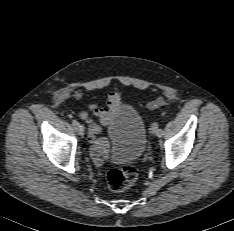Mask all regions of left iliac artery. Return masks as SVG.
<instances>
[{
  "label": "left iliac artery",
  "instance_id": "44dca946",
  "mask_svg": "<svg viewBox=\"0 0 234 231\" xmlns=\"http://www.w3.org/2000/svg\"><path fill=\"white\" fill-rule=\"evenodd\" d=\"M162 135H164V131L162 128H159L158 129V136H162Z\"/></svg>",
  "mask_w": 234,
  "mask_h": 231
}]
</instances>
